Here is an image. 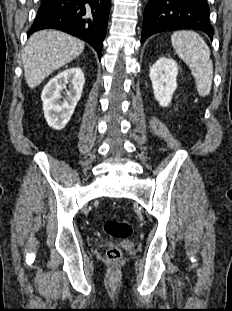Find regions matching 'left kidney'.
<instances>
[{
	"label": "left kidney",
	"mask_w": 232,
	"mask_h": 311,
	"mask_svg": "<svg viewBox=\"0 0 232 311\" xmlns=\"http://www.w3.org/2000/svg\"><path fill=\"white\" fill-rule=\"evenodd\" d=\"M178 65L173 59L161 57L150 68L153 93L160 106L167 107L177 88Z\"/></svg>",
	"instance_id": "5707ae66"
}]
</instances>
